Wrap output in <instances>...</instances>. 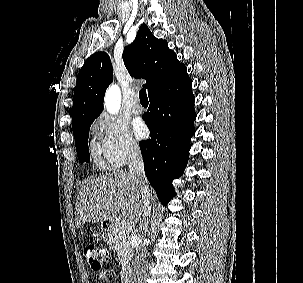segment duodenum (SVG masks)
I'll list each match as a JSON object with an SVG mask.
<instances>
[{"label":"duodenum","instance_id":"duodenum-1","mask_svg":"<svg viewBox=\"0 0 303 283\" xmlns=\"http://www.w3.org/2000/svg\"><path fill=\"white\" fill-rule=\"evenodd\" d=\"M131 271H130V268H128L127 266H125L123 268V276H124V279L127 283H132V280H131V275H130Z\"/></svg>","mask_w":303,"mask_h":283}]
</instances>
